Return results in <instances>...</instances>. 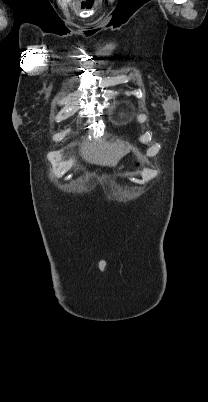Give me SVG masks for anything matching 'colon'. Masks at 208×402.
<instances>
[{"instance_id": "colon-1", "label": "colon", "mask_w": 208, "mask_h": 402, "mask_svg": "<svg viewBox=\"0 0 208 402\" xmlns=\"http://www.w3.org/2000/svg\"><path fill=\"white\" fill-rule=\"evenodd\" d=\"M140 166H141L140 162H137V163L135 164V167H136V168H139Z\"/></svg>"}]
</instances>
